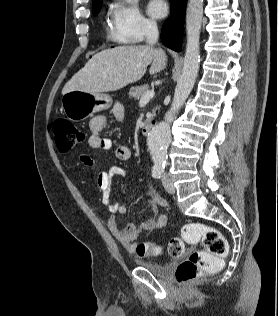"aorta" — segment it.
Here are the masks:
<instances>
[{
    "instance_id": "aorta-1",
    "label": "aorta",
    "mask_w": 278,
    "mask_h": 316,
    "mask_svg": "<svg viewBox=\"0 0 278 316\" xmlns=\"http://www.w3.org/2000/svg\"><path fill=\"white\" fill-rule=\"evenodd\" d=\"M136 0H125L133 3ZM203 18V0H189L186 12L187 45L182 73L178 80L174 98L164 120L149 132L147 145L154 168L163 170L167 160V149L171 142L170 123L183 106L195 84L200 63L199 38Z\"/></svg>"
}]
</instances>
